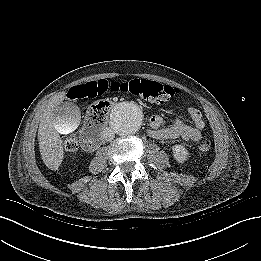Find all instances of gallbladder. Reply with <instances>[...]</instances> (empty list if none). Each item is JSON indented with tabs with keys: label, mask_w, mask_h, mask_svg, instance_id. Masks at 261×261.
<instances>
[{
	"label": "gallbladder",
	"mask_w": 261,
	"mask_h": 261,
	"mask_svg": "<svg viewBox=\"0 0 261 261\" xmlns=\"http://www.w3.org/2000/svg\"><path fill=\"white\" fill-rule=\"evenodd\" d=\"M51 120L60 133L70 134L80 126L82 112L74 103L65 101L55 107Z\"/></svg>",
	"instance_id": "obj_1"
}]
</instances>
